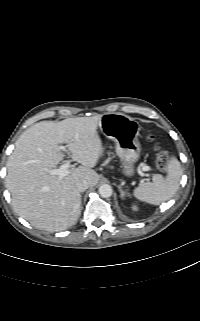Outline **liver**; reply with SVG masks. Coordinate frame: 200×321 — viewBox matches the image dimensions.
Wrapping results in <instances>:
<instances>
[{
	"label": "liver",
	"mask_w": 200,
	"mask_h": 321,
	"mask_svg": "<svg viewBox=\"0 0 200 321\" xmlns=\"http://www.w3.org/2000/svg\"><path fill=\"white\" fill-rule=\"evenodd\" d=\"M101 118L97 115L41 121L17 139L7 161L6 187L15 212L32 226L61 231L76 223L81 213L76 183L84 179L93 187L99 181L92 168L103 153L97 134ZM62 143L81 166L60 178L49 170L64 158L59 146Z\"/></svg>",
	"instance_id": "1"
}]
</instances>
